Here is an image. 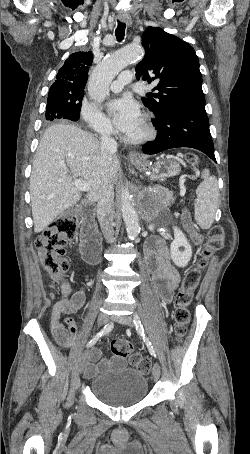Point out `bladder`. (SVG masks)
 Here are the masks:
<instances>
[{
	"label": "bladder",
	"instance_id": "1",
	"mask_svg": "<svg viewBox=\"0 0 250 454\" xmlns=\"http://www.w3.org/2000/svg\"><path fill=\"white\" fill-rule=\"evenodd\" d=\"M148 388L149 381L145 373L127 366L105 371L90 382L91 393L100 402L112 407L131 406L141 402L146 397Z\"/></svg>",
	"mask_w": 250,
	"mask_h": 454
}]
</instances>
